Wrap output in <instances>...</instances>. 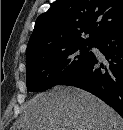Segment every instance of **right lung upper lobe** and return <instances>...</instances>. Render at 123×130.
<instances>
[{
  "label": "right lung upper lobe",
  "instance_id": "obj_1",
  "mask_svg": "<svg viewBox=\"0 0 123 130\" xmlns=\"http://www.w3.org/2000/svg\"><path fill=\"white\" fill-rule=\"evenodd\" d=\"M120 26L123 0H57L37 18L26 61L70 46L94 44Z\"/></svg>",
  "mask_w": 123,
  "mask_h": 130
}]
</instances>
